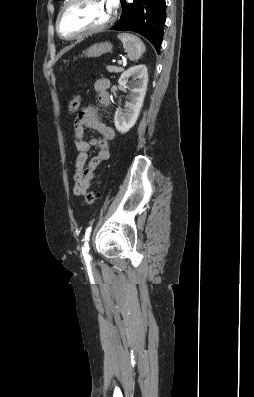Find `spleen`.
I'll return each instance as SVG.
<instances>
[{
	"mask_svg": "<svg viewBox=\"0 0 254 397\" xmlns=\"http://www.w3.org/2000/svg\"><path fill=\"white\" fill-rule=\"evenodd\" d=\"M118 38L123 43V47L127 52L130 60H138L146 51L144 43L135 35L129 33H121Z\"/></svg>",
	"mask_w": 254,
	"mask_h": 397,
	"instance_id": "1",
	"label": "spleen"
}]
</instances>
